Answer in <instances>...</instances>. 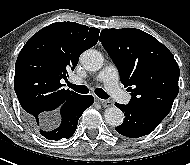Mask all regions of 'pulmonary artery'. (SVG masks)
Returning <instances> with one entry per match:
<instances>
[{
    "label": "pulmonary artery",
    "mask_w": 190,
    "mask_h": 165,
    "mask_svg": "<svg viewBox=\"0 0 190 165\" xmlns=\"http://www.w3.org/2000/svg\"><path fill=\"white\" fill-rule=\"evenodd\" d=\"M97 80L103 82L107 91L116 100L121 102L127 101L128 96L119 86L118 71L114 65H107L106 67H104L103 70L99 73ZM72 81L76 84L81 83V81L78 78H74L72 79Z\"/></svg>",
    "instance_id": "e3ab8cb5"
}]
</instances>
